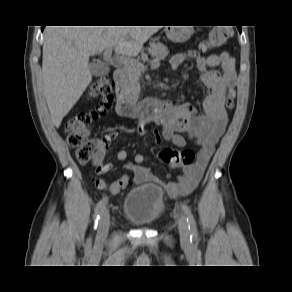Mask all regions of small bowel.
I'll return each instance as SVG.
<instances>
[{
  "instance_id": "c3829d8e",
  "label": "small bowel",
  "mask_w": 292,
  "mask_h": 292,
  "mask_svg": "<svg viewBox=\"0 0 292 292\" xmlns=\"http://www.w3.org/2000/svg\"><path fill=\"white\" fill-rule=\"evenodd\" d=\"M189 59L195 61L207 90L202 111L198 112L190 103L171 105L167 102L165 110L154 119L157 128L149 129L146 123H140L137 132L140 135H151L154 144L166 140L176 147H184L187 140L193 141L199 147L196 162L186 166L170 164V168H181L182 174L168 182H162L148 167L142 165L144 156L140 153L134 156L133 162L125 165V169L133 174L136 185L160 184L171 197L187 196L199 184L215 146L225 132L228 123L225 101L234 97L237 84L235 58L229 52L202 56L197 51L190 50L174 55L170 63L173 69H178ZM117 136L116 132H109L94 140L96 152L92 163L99 175L113 169V164L104 163V159L107 148ZM127 158V151H118L119 161ZM127 183L128 178L121 177L110 185V192L118 194Z\"/></svg>"
}]
</instances>
